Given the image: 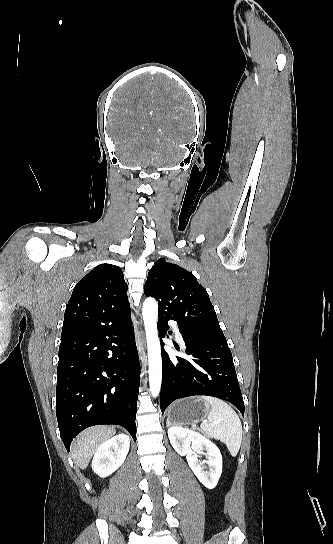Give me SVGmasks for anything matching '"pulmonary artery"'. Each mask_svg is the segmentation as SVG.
I'll return each mask as SVG.
<instances>
[{
    "label": "pulmonary artery",
    "mask_w": 333,
    "mask_h": 544,
    "mask_svg": "<svg viewBox=\"0 0 333 544\" xmlns=\"http://www.w3.org/2000/svg\"><path fill=\"white\" fill-rule=\"evenodd\" d=\"M171 325L173 326L174 328V331H175V334L177 336V338L182 341V336H181V333L179 332V329H178V325L175 321H170Z\"/></svg>",
    "instance_id": "pulmonary-artery-1"
}]
</instances>
